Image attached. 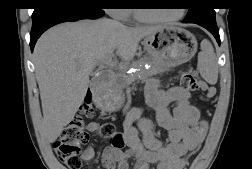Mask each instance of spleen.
<instances>
[{
    "mask_svg": "<svg viewBox=\"0 0 252 169\" xmlns=\"http://www.w3.org/2000/svg\"><path fill=\"white\" fill-rule=\"evenodd\" d=\"M198 54V71L201 77L209 84L214 85L218 79V63L212 44L204 39Z\"/></svg>",
    "mask_w": 252,
    "mask_h": 169,
    "instance_id": "obj_1",
    "label": "spleen"
}]
</instances>
